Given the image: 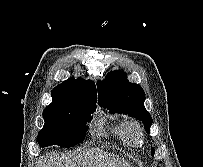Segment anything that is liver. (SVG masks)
Here are the masks:
<instances>
[{
    "mask_svg": "<svg viewBox=\"0 0 203 167\" xmlns=\"http://www.w3.org/2000/svg\"><path fill=\"white\" fill-rule=\"evenodd\" d=\"M37 167H129L101 150L90 149L77 154L51 153L38 160Z\"/></svg>",
    "mask_w": 203,
    "mask_h": 167,
    "instance_id": "liver-1",
    "label": "liver"
}]
</instances>
